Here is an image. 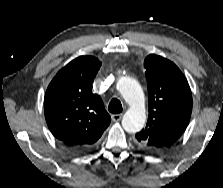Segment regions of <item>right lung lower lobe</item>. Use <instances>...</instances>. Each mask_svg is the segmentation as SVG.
I'll list each match as a JSON object with an SVG mask.
<instances>
[{"mask_svg": "<svg viewBox=\"0 0 223 188\" xmlns=\"http://www.w3.org/2000/svg\"><path fill=\"white\" fill-rule=\"evenodd\" d=\"M69 149H71V150L74 151V152H78V153H82V152L87 151V150L80 149V148H69Z\"/></svg>", "mask_w": 223, "mask_h": 188, "instance_id": "98d812e1", "label": "right lung lower lobe"}]
</instances>
